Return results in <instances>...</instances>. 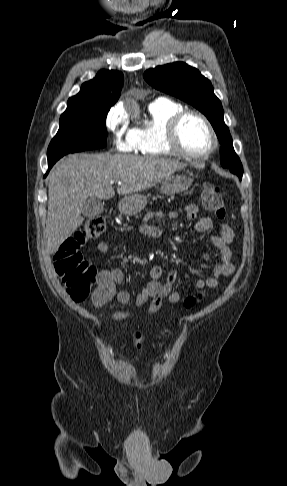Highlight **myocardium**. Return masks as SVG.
<instances>
[{
	"mask_svg": "<svg viewBox=\"0 0 287 486\" xmlns=\"http://www.w3.org/2000/svg\"><path fill=\"white\" fill-rule=\"evenodd\" d=\"M189 116H195L199 118L205 127L207 128L211 137V146L208 150L204 152H190L186 150L180 143L179 140V129L182 122ZM165 142L169 149L175 154L191 158V159H201L212 155L218 147V137L217 134L209 121V119L200 111L194 109L182 110L175 114L167 123L165 128Z\"/></svg>",
	"mask_w": 287,
	"mask_h": 486,
	"instance_id": "obj_1",
	"label": "myocardium"
}]
</instances>
